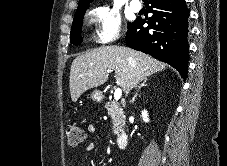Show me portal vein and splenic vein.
<instances>
[{
	"instance_id": "18ae733b",
	"label": "portal vein and splenic vein",
	"mask_w": 227,
	"mask_h": 166,
	"mask_svg": "<svg viewBox=\"0 0 227 166\" xmlns=\"http://www.w3.org/2000/svg\"><path fill=\"white\" fill-rule=\"evenodd\" d=\"M110 72V71H108ZM122 96V90L120 88H117L114 93V99L115 101H118Z\"/></svg>"
}]
</instances>
